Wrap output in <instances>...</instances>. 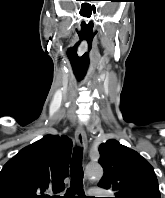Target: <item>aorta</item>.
Segmentation results:
<instances>
[{"label": "aorta", "mask_w": 165, "mask_h": 198, "mask_svg": "<svg viewBox=\"0 0 165 198\" xmlns=\"http://www.w3.org/2000/svg\"><path fill=\"white\" fill-rule=\"evenodd\" d=\"M86 172L90 178L95 180H99L103 176V169L99 164H89Z\"/></svg>", "instance_id": "762f6f07"}]
</instances>
